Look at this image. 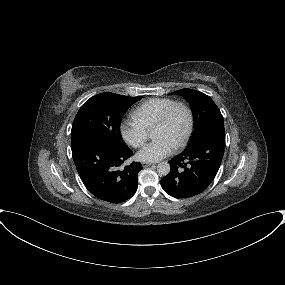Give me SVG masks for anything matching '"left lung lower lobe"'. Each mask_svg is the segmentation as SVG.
I'll use <instances>...</instances> for the list:
<instances>
[{"mask_svg": "<svg viewBox=\"0 0 285 285\" xmlns=\"http://www.w3.org/2000/svg\"><path fill=\"white\" fill-rule=\"evenodd\" d=\"M224 150V124L210 126L183 153L169 161L171 171L161 179L162 188L176 198L202 193L215 178Z\"/></svg>", "mask_w": 285, "mask_h": 285, "instance_id": "1", "label": "left lung lower lobe"}]
</instances>
